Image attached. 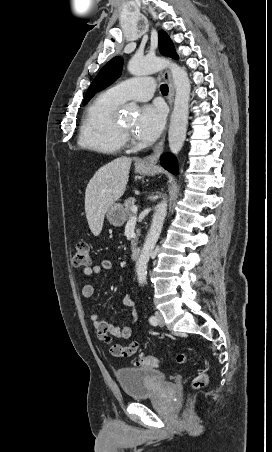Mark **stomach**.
Wrapping results in <instances>:
<instances>
[{"label":"stomach","mask_w":272,"mask_h":452,"mask_svg":"<svg viewBox=\"0 0 272 452\" xmlns=\"http://www.w3.org/2000/svg\"><path fill=\"white\" fill-rule=\"evenodd\" d=\"M135 170L139 174L148 175L152 172V168L143 165L139 162L135 163ZM107 219L111 225H114L116 227H120L124 224L126 221V214L123 206L119 203H114L109 207L107 210Z\"/></svg>","instance_id":"0dacf381"}]
</instances>
